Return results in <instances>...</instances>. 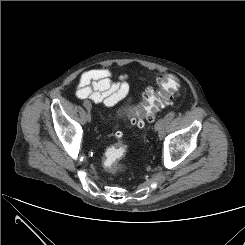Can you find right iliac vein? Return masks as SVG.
<instances>
[{"label": "right iliac vein", "instance_id": "1", "mask_svg": "<svg viewBox=\"0 0 245 245\" xmlns=\"http://www.w3.org/2000/svg\"><path fill=\"white\" fill-rule=\"evenodd\" d=\"M84 106H85V108L88 111L91 110V103L88 100L84 101ZM86 121L87 122H90L91 121V114L90 113H87V115H86Z\"/></svg>", "mask_w": 245, "mask_h": 245}]
</instances>
